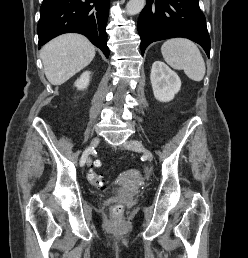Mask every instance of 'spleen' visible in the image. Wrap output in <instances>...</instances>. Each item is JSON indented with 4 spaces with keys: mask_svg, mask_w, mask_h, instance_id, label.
<instances>
[{
    "mask_svg": "<svg viewBox=\"0 0 248 258\" xmlns=\"http://www.w3.org/2000/svg\"><path fill=\"white\" fill-rule=\"evenodd\" d=\"M161 53L172 68L184 70L189 79L200 82L204 78L205 62L194 42L185 38L169 39L163 43Z\"/></svg>",
    "mask_w": 248,
    "mask_h": 258,
    "instance_id": "3e777b00",
    "label": "spleen"
}]
</instances>
